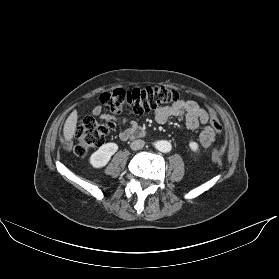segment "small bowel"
<instances>
[{
	"label": "small bowel",
	"mask_w": 279,
	"mask_h": 279,
	"mask_svg": "<svg viewBox=\"0 0 279 279\" xmlns=\"http://www.w3.org/2000/svg\"><path fill=\"white\" fill-rule=\"evenodd\" d=\"M102 106H97L93 110V115L99 117L102 121L109 118L108 114L102 113ZM155 120L160 123H166L170 118L184 116L186 124L191 129H196L200 125H206L209 121L208 112L202 108L198 103L192 100H178L170 106L158 107L155 110ZM125 129L120 131L119 137L125 139V133L136 127L135 122H127L126 119L122 120ZM215 133L210 130V124L205 127L200 134L199 141L202 147L206 148L214 141Z\"/></svg>",
	"instance_id": "obj_1"
}]
</instances>
